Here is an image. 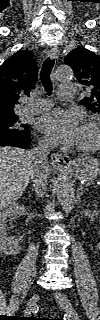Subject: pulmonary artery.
Instances as JSON below:
<instances>
[{"label":"pulmonary artery","instance_id":"obj_1","mask_svg":"<svg viewBox=\"0 0 100 320\" xmlns=\"http://www.w3.org/2000/svg\"><path fill=\"white\" fill-rule=\"evenodd\" d=\"M77 87L74 84L61 85L59 87L58 96L62 101H70L74 97ZM52 106V102L48 99H37L30 101L25 106L27 113H39L47 110Z\"/></svg>","mask_w":100,"mask_h":320}]
</instances>
